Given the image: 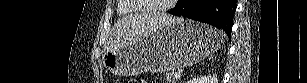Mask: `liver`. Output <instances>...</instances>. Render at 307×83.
<instances>
[{
	"label": "liver",
	"mask_w": 307,
	"mask_h": 83,
	"mask_svg": "<svg viewBox=\"0 0 307 83\" xmlns=\"http://www.w3.org/2000/svg\"><path fill=\"white\" fill-rule=\"evenodd\" d=\"M176 19L166 14H136L122 18L112 29L109 50L133 43L142 36L170 24Z\"/></svg>",
	"instance_id": "obj_1"
}]
</instances>
